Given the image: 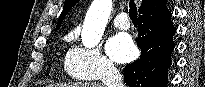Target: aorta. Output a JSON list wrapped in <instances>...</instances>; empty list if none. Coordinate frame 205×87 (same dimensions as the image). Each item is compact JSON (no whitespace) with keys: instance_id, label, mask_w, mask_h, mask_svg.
Returning <instances> with one entry per match:
<instances>
[{"instance_id":"obj_1","label":"aorta","mask_w":205,"mask_h":87,"mask_svg":"<svg viewBox=\"0 0 205 87\" xmlns=\"http://www.w3.org/2000/svg\"><path fill=\"white\" fill-rule=\"evenodd\" d=\"M112 9V0H93L89 7L83 29L81 40L86 48L97 46L103 36Z\"/></svg>"}]
</instances>
